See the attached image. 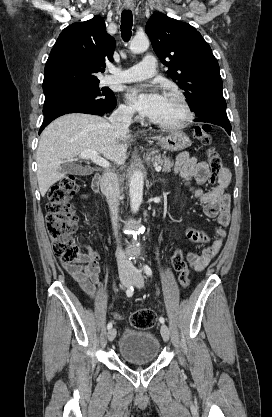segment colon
Masks as SVG:
<instances>
[{
  "instance_id": "5ec220e1",
  "label": "colon",
  "mask_w": 272,
  "mask_h": 417,
  "mask_svg": "<svg viewBox=\"0 0 272 417\" xmlns=\"http://www.w3.org/2000/svg\"><path fill=\"white\" fill-rule=\"evenodd\" d=\"M212 127L208 124L197 125L194 136L199 141L210 144ZM211 170V181L215 182L223 169L222 161L216 149L211 146L207 152ZM79 184L74 175H67L54 184L48 192L46 225L53 241L55 254L67 264H77L81 254L75 241L77 232V217L70 199L78 191ZM172 264L178 272V280L182 287L190 283L188 266L181 251L177 250L172 256ZM130 323L137 329H150L156 323V314L151 309H139L131 314Z\"/></svg>"
}]
</instances>
